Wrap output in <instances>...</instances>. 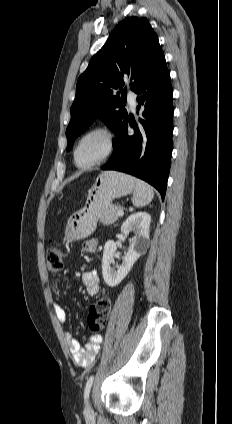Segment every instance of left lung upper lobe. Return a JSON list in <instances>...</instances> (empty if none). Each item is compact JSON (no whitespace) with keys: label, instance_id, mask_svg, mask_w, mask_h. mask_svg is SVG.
Returning a JSON list of instances; mask_svg holds the SVG:
<instances>
[{"label":"left lung upper lobe","instance_id":"5c2ea615","mask_svg":"<svg viewBox=\"0 0 232 424\" xmlns=\"http://www.w3.org/2000/svg\"><path fill=\"white\" fill-rule=\"evenodd\" d=\"M164 58L156 33L146 18L127 17L112 31L105 45L80 75L71 120L66 130L67 150L97 118L118 136L127 111L122 108L125 79L134 92Z\"/></svg>","mask_w":232,"mask_h":424}]
</instances>
